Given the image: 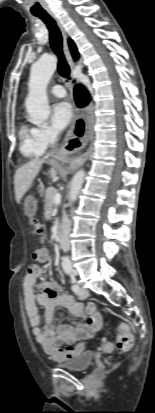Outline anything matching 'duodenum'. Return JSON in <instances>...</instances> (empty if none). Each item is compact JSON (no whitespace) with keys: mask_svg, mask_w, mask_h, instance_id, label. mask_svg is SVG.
<instances>
[{"mask_svg":"<svg viewBox=\"0 0 155 413\" xmlns=\"http://www.w3.org/2000/svg\"><path fill=\"white\" fill-rule=\"evenodd\" d=\"M55 241L58 245H60V242H61V228L60 227L58 228L57 234L55 236Z\"/></svg>","mask_w":155,"mask_h":413,"instance_id":"410a0bca","label":"duodenum"}]
</instances>
